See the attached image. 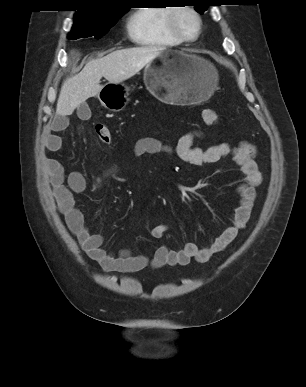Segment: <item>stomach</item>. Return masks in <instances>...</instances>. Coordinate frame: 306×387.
<instances>
[{
  "instance_id": "1",
  "label": "stomach",
  "mask_w": 306,
  "mask_h": 387,
  "mask_svg": "<svg viewBox=\"0 0 306 387\" xmlns=\"http://www.w3.org/2000/svg\"><path fill=\"white\" fill-rule=\"evenodd\" d=\"M144 82L149 91L167 108H188L211 97L218 84V72L207 60L168 46L145 66ZM123 84L109 83L98 94L101 104L113 111L128 102Z\"/></svg>"
}]
</instances>
